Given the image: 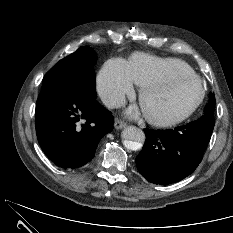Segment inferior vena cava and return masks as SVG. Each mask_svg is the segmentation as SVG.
Instances as JSON below:
<instances>
[{"instance_id": "1", "label": "inferior vena cava", "mask_w": 233, "mask_h": 233, "mask_svg": "<svg viewBox=\"0 0 233 233\" xmlns=\"http://www.w3.org/2000/svg\"><path fill=\"white\" fill-rule=\"evenodd\" d=\"M102 102L108 108H119L125 105V96L119 93L106 94L102 96Z\"/></svg>"}]
</instances>
